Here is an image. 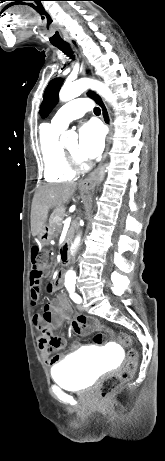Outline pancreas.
I'll return each mask as SVG.
<instances>
[{
  "mask_svg": "<svg viewBox=\"0 0 165 461\" xmlns=\"http://www.w3.org/2000/svg\"><path fill=\"white\" fill-rule=\"evenodd\" d=\"M65 214V209L63 207L57 208L53 211L49 218V225L53 229L54 232L59 233L62 229V220ZM72 232V228L70 229L69 233Z\"/></svg>",
  "mask_w": 165,
  "mask_h": 461,
  "instance_id": "pancreas-1",
  "label": "pancreas"
}]
</instances>
